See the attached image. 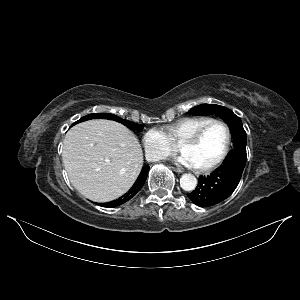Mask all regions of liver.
Here are the masks:
<instances>
[{"label":"liver","mask_w":300,"mask_h":300,"mask_svg":"<svg viewBox=\"0 0 300 300\" xmlns=\"http://www.w3.org/2000/svg\"><path fill=\"white\" fill-rule=\"evenodd\" d=\"M62 160L72 185L83 196L109 202L132 187L143 166V152L127 127L93 119L67 132Z\"/></svg>","instance_id":"1"}]
</instances>
